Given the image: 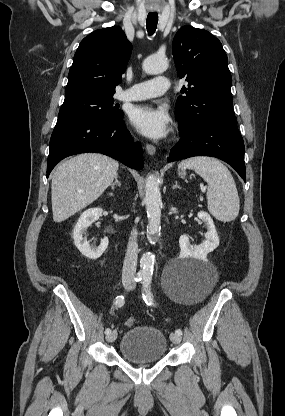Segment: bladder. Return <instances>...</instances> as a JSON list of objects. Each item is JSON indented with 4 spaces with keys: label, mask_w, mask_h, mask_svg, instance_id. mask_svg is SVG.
Masks as SVG:
<instances>
[{
    "label": "bladder",
    "mask_w": 285,
    "mask_h": 416,
    "mask_svg": "<svg viewBox=\"0 0 285 416\" xmlns=\"http://www.w3.org/2000/svg\"><path fill=\"white\" fill-rule=\"evenodd\" d=\"M117 346L123 360L153 364L165 358L167 339L155 326L138 325L129 328Z\"/></svg>",
    "instance_id": "obj_1"
}]
</instances>
